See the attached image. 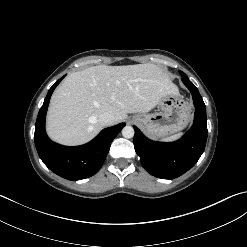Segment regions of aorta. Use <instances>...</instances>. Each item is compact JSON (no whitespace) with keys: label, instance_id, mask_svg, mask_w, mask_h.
I'll return each instance as SVG.
<instances>
[{"label":"aorta","instance_id":"aorta-1","mask_svg":"<svg viewBox=\"0 0 247 247\" xmlns=\"http://www.w3.org/2000/svg\"><path fill=\"white\" fill-rule=\"evenodd\" d=\"M135 134L134 128L132 126H125L122 129V135L125 138H132Z\"/></svg>","mask_w":247,"mask_h":247}]
</instances>
